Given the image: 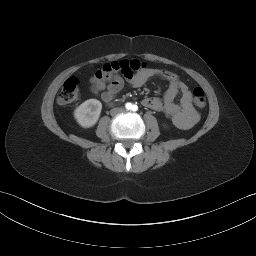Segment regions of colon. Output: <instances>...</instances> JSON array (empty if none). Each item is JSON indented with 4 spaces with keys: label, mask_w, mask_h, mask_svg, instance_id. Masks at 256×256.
I'll return each mask as SVG.
<instances>
[{
    "label": "colon",
    "mask_w": 256,
    "mask_h": 256,
    "mask_svg": "<svg viewBox=\"0 0 256 256\" xmlns=\"http://www.w3.org/2000/svg\"><path fill=\"white\" fill-rule=\"evenodd\" d=\"M146 69V65L140 61H114L105 64L91 78L93 88L106 83L116 77L131 78L135 74ZM79 81L75 77L67 79L58 95L59 104H69L79 98ZM193 104L198 109L206 106V97L202 89L196 88L193 93Z\"/></svg>",
    "instance_id": "colon-1"
}]
</instances>
